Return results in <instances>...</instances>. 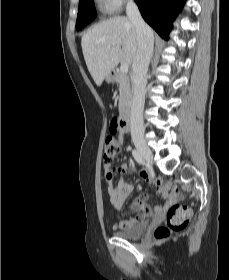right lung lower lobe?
Returning <instances> with one entry per match:
<instances>
[{"mask_svg":"<svg viewBox=\"0 0 229 280\" xmlns=\"http://www.w3.org/2000/svg\"><path fill=\"white\" fill-rule=\"evenodd\" d=\"M144 20L166 40L172 21L180 12L183 0H135Z\"/></svg>","mask_w":229,"mask_h":280,"instance_id":"98d812e1","label":"right lung lower lobe"}]
</instances>
